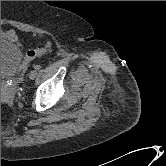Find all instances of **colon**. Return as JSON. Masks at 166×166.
Here are the masks:
<instances>
[{"label":"colon","instance_id":"colon-1","mask_svg":"<svg viewBox=\"0 0 166 166\" xmlns=\"http://www.w3.org/2000/svg\"><path fill=\"white\" fill-rule=\"evenodd\" d=\"M52 48H53L52 42L51 41H46L44 46L28 51L27 54H26V58L28 60H32L36 57L44 55L47 51L52 50ZM1 110H2V107H1Z\"/></svg>","mask_w":166,"mask_h":166}]
</instances>
